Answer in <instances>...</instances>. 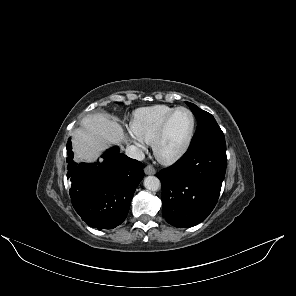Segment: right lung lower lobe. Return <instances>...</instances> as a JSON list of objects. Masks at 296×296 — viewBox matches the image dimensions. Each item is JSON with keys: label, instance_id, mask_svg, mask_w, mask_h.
<instances>
[{"label": "right lung lower lobe", "instance_id": "obj_1", "mask_svg": "<svg viewBox=\"0 0 296 296\" xmlns=\"http://www.w3.org/2000/svg\"><path fill=\"white\" fill-rule=\"evenodd\" d=\"M67 142V177L72 182L71 202L83 221L97 229H112L126 218L134 191L144 177L141 162L111 148L102 163H80L73 159Z\"/></svg>", "mask_w": 296, "mask_h": 296}]
</instances>
